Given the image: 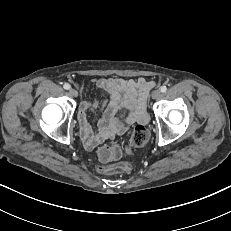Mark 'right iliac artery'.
<instances>
[{"label": "right iliac artery", "instance_id": "82829eb1", "mask_svg": "<svg viewBox=\"0 0 231 231\" xmlns=\"http://www.w3.org/2000/svg\"><path fill=\"white\" fill-rule=\"evenodd\" d=\"M63 87H64V89H66V90H69V89L71 88V86H70L68 83H65V84L63 85Z\"/></svg>", "mask_w": 231, "mask_h": 231}]
</instances>
